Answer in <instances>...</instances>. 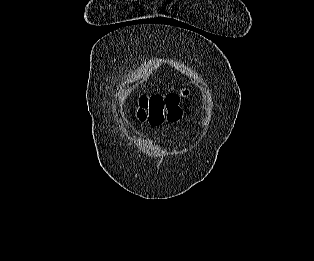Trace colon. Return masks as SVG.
<instances>
[{"instance_id":"obj_1","label":"colon","mask_w":314,"mask_h":261,"mask_svg":"<svg viewBox=\"0 0 314 261\" xmlns=\"http://www.w3.org/2000/svg\"><path fill=\"white\" fill-rule=\"evenodd\" d=\"M183 92L182 95H185ZM180 94L169 93L166 96L154 94L149 97L142 96L140 98L141 109L139 110V118L142 121H148L153 126L161 125L165 120L174 122L181 116L179 108ZM167 111L165 116L164 111Z\"/></svg>"}]
</instances>
